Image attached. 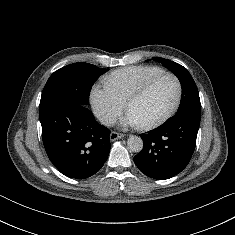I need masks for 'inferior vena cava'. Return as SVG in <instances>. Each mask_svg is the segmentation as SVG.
Returning <instances> with one entry per match:
<instances>
[{"label": "inferior vena cava", "mask_w": 235, "mask_h": 235, "mask_svg": "<svg viewBox=\"0 0 235 235\" xmlns=\"http://www.w3.org/2000/svg\"><path fill=\"white\" fill-rule=\"evenodd\" d=\"M99 120L104 125H112L115 123V118L111 114H101Z\"/></svg>", "instance_id": "602c4592"}]
</instances>
